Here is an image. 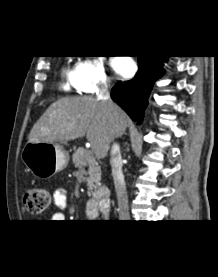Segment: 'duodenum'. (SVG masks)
<instances>
[{
  "instance_id": "1",
  "label": "duodenum",
  "mask_w": 218,
  "mask_h": 277,
  "mask_svg": "<svg viewBox=\"0 0 218 277\" xmlns=\"http://www.w3.org/2000/svg\"><path fill=\"white\" fill-rule=\"evenodd\" d=\"M98 207L106 212L109 210L111 201V191L108 187H101L96 190L94 198Z\"/></svg>"
}]
</instances>
